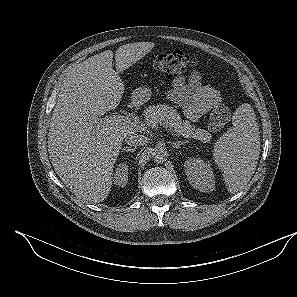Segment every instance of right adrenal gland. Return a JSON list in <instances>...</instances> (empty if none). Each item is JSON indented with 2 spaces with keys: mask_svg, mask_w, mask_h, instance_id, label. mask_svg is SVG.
I'll list each match as a JSON object with an SVG mask.
<instances>
[{
  "mask_svg": "<svg viewBox=\"0 0 297 297\" xmlns=\"http://www.w3.org/2000/svg\"><path fill=\"white\" fill-rule=\"evenodd\" d=\"M135 150H136V148H132V147H124V148H122V151H123V152L126 151V152L134 153Z\"/></svg>",
  "mask_w": 297,
  "mask_h": 297,
  "instance_id": "1",
  "label": "right adrenal gland"
}]
</instances>
